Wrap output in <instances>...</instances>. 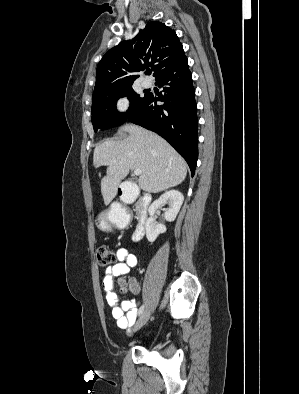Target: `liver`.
Masks as SVG:
<instances>
[{
	"instance_id": "1",
	"label": "liver",
	"mask_w": 299,
	"mask_h": 394,
	"mask_svg": "<svg viewBox=\"0 0 299 394\" xmlns=\"http://www.w3.org/2000/svg\"><path fill=\"white\" fill-rule=\"evenodd\" d=\"M119 133L128 135L120 141H105L94 149V167L107 166L106 176L101 179L105 204L116 196L131 169L142 170L138 183L149 193L167 190L184 181L186 162L162 137L133 124L122 126Z\"/></svg>"
}]
</instances>
